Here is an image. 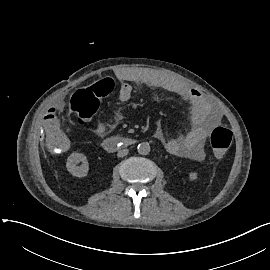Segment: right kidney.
Instances as JSON below:
<instances>
[{
    "label": "right kidney",
    "mask_w": 270,
    "mask_h": 270,
    "mask_svg": "<svg viewBox=\"0 0 270 270\" xmlns=\"http://www.w3.org/2000/svg\"><path fill=\"white\" fill-rule=\"evenodd\" d=\"M79 162H82L81 166H77ZM67 170L77 177H84L88 173V162L86 156L82 153H72L66 163Z\"/></svg>",
    "instance_id": "right-kidney-1"
}]
</instances>
